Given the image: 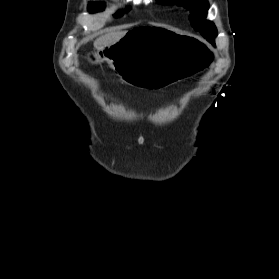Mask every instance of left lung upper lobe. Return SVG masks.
Segmentation results:
<instances>
[{"label": "left lung upper lobe", "mask_w": 279, "mask_h": 279, "mask_svg": "<svg viewBox=\"0 0 279 279\" xmlns=\"http://www.w3.org/2000/svg\"><path fill=\"white\" fill-rule=\"evenodd\" d=\"M160 4H177L190 10L192 26L201 32L209 41L214 42L217 36V29L213 22L206 21L205 17L208 11L207 0H157Z\"/></svg>", "instance_id": "5c2ea615"}]
</instances>
